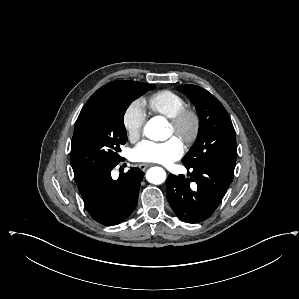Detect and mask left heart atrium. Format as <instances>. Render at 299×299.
<instances>
[{
	"mask_svg": "<svg viewBox=\"0 0 299 299\" xmlns=\"http://www.w3.org/2000/svg\"><path fill=\"white\" fill-rule=\"evenodd\" d=\"M183 153L184 147L181 141L172 137L164 142L143 140L131 150L130 158L135 162L168 165L180 159Z\"/></svg>",
	"mask_w": 299,
	"mask_h": 299,
	"instance_id": "obj_1",
	"label": "left heart atrium"
}]
</instances>
